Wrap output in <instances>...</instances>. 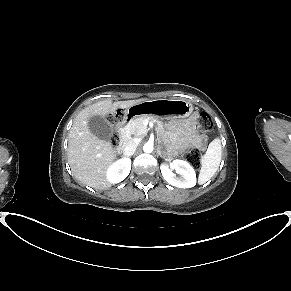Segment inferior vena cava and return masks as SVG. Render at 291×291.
Instances as JSON below:
<instances>
[{
    "label": "inferior vena cava",
    "mask_w": 291,
    "mask_h": 291,
    "mask_svg": "<svg viewBox=\"0 0 291 291\" xmlns=\"http://www.w3.org/2000/svg\"><path fill=\"white\" fill-rule=\"evenodd\" d=\"M137 146L138 142L136 140H129L123 149V154L127 157L132 156L135 153Z\"/></svg>",
    "instance_id": "obj_1"
}]
</instances>
